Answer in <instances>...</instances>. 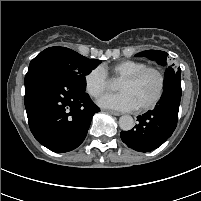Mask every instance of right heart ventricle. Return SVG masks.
<instances>
[{"mask_svg": "<svg viewBox=\"0 0 201 201\" xmlns=\"http://www.w3.org/2000/svg\"><path fill=\"white\" fill-rule=\"evenodd\" d=\"M146 63L134 60H124L114 64L111 67L102 66L106 73L111 74L113 77L122 79L123 77L130 75L144 67Z\"/></svg>", "mask_w": 201, "mask_h": 201, "instance_id": "e07e8e85", "label": "right heart ventricle"}]
</instances>
